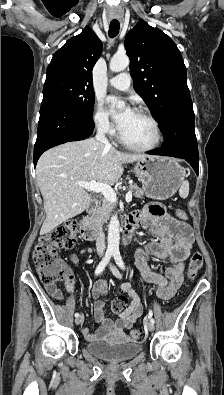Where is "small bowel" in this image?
I'll list each match as a JSON object with an SVG mask.
<instances>
[{
	"instance_id": "small-bowel-1",
	"label": "small bowel",
	"mask_w": 224,
	"mask_h": 395,
	"mask_svg": "<svg viewBox=\"0 0 224 395\" xmlns=\"http://www.w3.org/2000/svg\"><path fill=\"white\" fill-rule=\"evenodd\" d=\"M136 222L149 230L157 237L140 247L135 253V263L145 283L158 286L157 295L162 300L171 299L181 285L186 261L190 255L193 243V234L190 226L171 217L159 204H149L142 211L135 212ZM155 257L163 261H170L164 274L153 271L149 266V258ZM70 260L78 263L75 254ZM46 290L56 299L62 298L61 290L55 284H44ZM65 286L68 292L75 291L74 276L70 273ZM107 283L104 279L98 280L93 287L95 319L101 323L100 328L94 333L88 327L82 328V333L88 341L105 338L111 333L126 331L132 327L143 313L142 296L128 283L120 285V290L128 295L130 304L119 315L116 321H111L104 316V305L99 297L106 293Z\"/></svg>"
}]
</instances>
